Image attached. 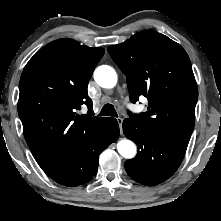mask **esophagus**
Instances as JSON below:
<instances>
[{"label":"esophagus","mask_w":221,"mask_h":221,"mask_svg":"<svg viewBox=\"0 0 221 221\" xmlns=\"http://www.w3.org/2000/svg\"><path fill=\"white\" fill-rule=\"evenodd\" d=\"M117 122L119 124L120 130L122 131L123 119L119 117V118H117Z\"/></svg>","instance_id":"esophagus-1"}]
</instances>
